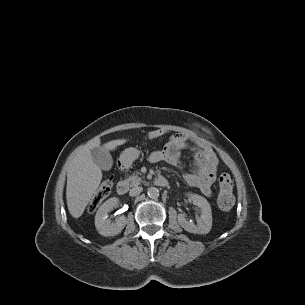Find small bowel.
I'll use <instances>...</instances> for the list:
<instances>
[{
  "label": "small bowel",
  "mask_w": 305,
  "mask_h": 305,
  "mask_svg": "<svg viewBox=\"0 0 305 305\" xmlns=\"http://www.w3.org/2000/svg\"><path fill=\"white\" fill-rule=\"evenodd\" d=\"M184 148H190L195 153L189 171L183 172L185 181L199 188L205 196H210L218 169V159L212 149L196 137L185 133L171 135L163 148L150 154L149 161L151 163L165 162L182 168L181 150Z\"/></svg>",
  "instance_id": "c3829d8e"
}]
</instances>
